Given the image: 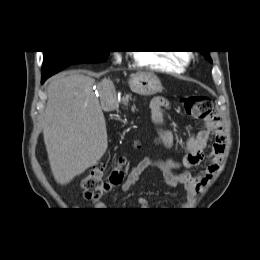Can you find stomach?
Returning a JSON list of instances; mask_svg holds the SVG:
<instances>
[{"instance_id": "0dacf381", "label": "stomach", "mask_w": 260, "mask_h": 260, "mask_svg": "<svg viewBox=\"0 0 260 260\" xmlns=\"http://www.w3.org/2000/svg\"><path fill=\"white\" fill-rule=\"evenodd\" d=\"M128 83L134 93L142 96L155 95L163 89L160 79L152 73H137Z\"/></svg>"}]
</instances>
